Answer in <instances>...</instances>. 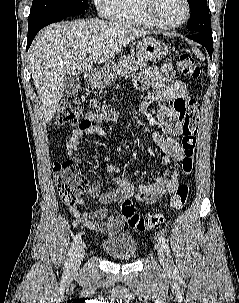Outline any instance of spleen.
Segmentation results:
<instances>
[{"mask_svg":"<svg viewBox=\"0 0 239 303\" xmlns=\"http://www.w3.org/2000/svg\"><path fill=\"white\" fill-rule=\"evenodd\" d=\"M195 55L201 60L205 59L204 55L199 50H195Z\"/></svg>","mask_w":239,"mask_h":303,"instance_id":"3e777b00","label":"spleen"}]
</instances>
